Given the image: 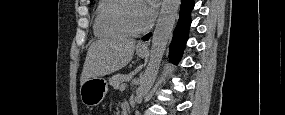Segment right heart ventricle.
Wrapping results in <instances>:
<instances>
[{"label": "right heart ventricle", "mask_w": 285, "mask_h": 115, "mask_svg": "<svg viewBox=\"0 0 285 115\" xmlns=\"http://www.w3.org/2000/svg\"><path fill=\"white\" fill-rule=\"evenodd\" d=\"M121 0L98 1L93 21L94 34L99 38L118 39L125 34L113 21L112 15Z\"/></svg>", "instance_id": "right-heart-ventricle-1"}]
</instances>
